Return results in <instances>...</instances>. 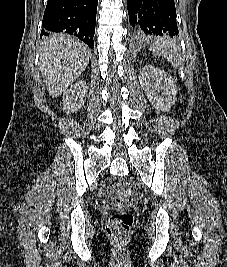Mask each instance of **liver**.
<instances>
[{"label": "liver", "instance_id": "liver-1", "mask_svg": "<svg viewBox=\"0 0 227 267\" xmlns=\"http://www.w3.org/2000/svg\"><path fill=\"white\" fill-rule=\"evenodd\" d=\"M89 64L86 44L59 33L44 39L40 67L49 95L59 97L85 71Z\"/></svg>", "mask_w": 227, "mask_h": 267}]
</instances>
